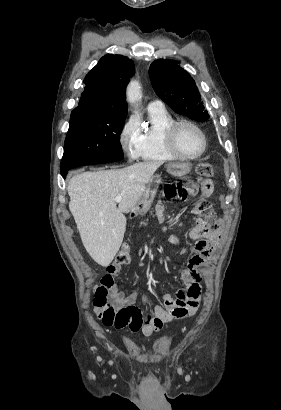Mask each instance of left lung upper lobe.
I'll return each mask as SVG.
<instances>
[{"instance_id":"1","label":"left lung upper lobe","mask_w":281,"mask_h":410,"mask_svg":"<svg viewBox=\"0 0 281 410\" xmlns=\"http://www.w3.org/2000/svg\"><path fill=\"white\" fill-rule=\"evenodd\" d=\"M177 64V61L159 59L150 65L149 76L156 94L175 112L206 121L209 115L194 80Z\"/></svg>"}]
</instances>
